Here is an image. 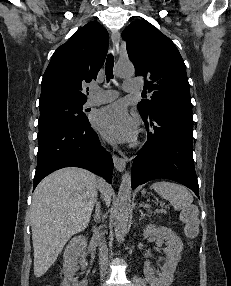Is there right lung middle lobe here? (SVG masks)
<instances>
[{"mask_svg": "<svg viewBox=\"0 0 231 286\" xmlns=\"http://www.w3.org/2000/svg\"><path fill=\"white\" fill-rule=\"evenodd\" d=\"M85 102L86 101H61L39 107V130L62 122L88 120L82 111Z\"/></svg>", "mask_w": 231, "mask_h": 286, "instance_id": "obj_1", "label": "right lung middle lobe"}]
</instances>
